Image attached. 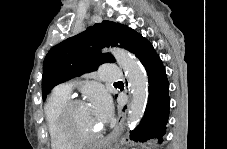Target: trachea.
Listing matches in <instances>:
<instances>
[{
    "mask_svg": "<svg viewBox=\"0 0 227 149\" xmlns=\"http://www.w3.org/2000/svg\"><path fill=\"white\" fill-rule=\"evenodd\" d=\"M116 83H122L121 81H118V82H116Z\"/></svg>",
    "mask_w": 227,
    "mask_h": 149,
    "instance_id": "1",
    "label": "trachea"
}]
</instances>
